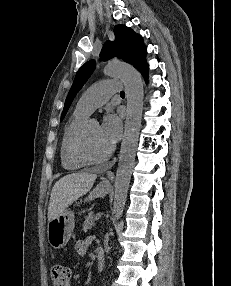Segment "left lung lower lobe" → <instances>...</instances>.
<instances>
[{
    "label": "left lung lower lobe",
    "mask_w": 231,
    "mask_h": 286,
    "mask_svg": "<svg viewBox=\"0 0 231 286\" xmlns=\"http://www.w3.org/2000/svg\"><path fill=\"white\" fill-rule=\"evenodd\" d=\"M139 71L141 72V74L143 75L145 80H147V76H148V66H147V64H145Z\"/></svg>",
    "instance_id": "obj_1"
}]
</instances>
